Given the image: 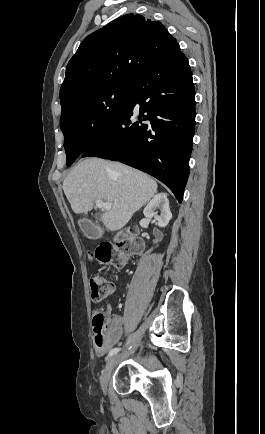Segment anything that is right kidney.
<instances>
[{"label":"right kidney","instance_id":"1","mask_svg":"<svg viewBox=\"0 0 265 434\" xmlns=\"http://www.w3.org/2000/svg\"><path fill=\"white\" fill-rule=\"evenodd\" d=\"M155 210H161L160 216H157ZM145 218L148 220H157L159 228H165L169 224L172 214L169 208V200H167V194L161 192V194H155L153 200L147 204L146 208L143 210Z\"/></svg>","mask_w":265,"mask_h":434}]
</instances>
